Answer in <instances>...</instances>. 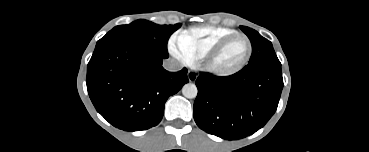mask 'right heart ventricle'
Instances as JSON below:
<instances>
[{"mask_svg":"<svg viewBox=\"0 0 369 152\" xmlns=\"http://www.w3.org/2000/svg\"><path fill=\"white\" fill-rule=\"evenodd\" d=\"M234 33L237 31L228 27L200 25L181 31L177 40L179 45L189 53L190 64H193L201 60L217 42Z\"/></svg>","mask_w":369,"mask_h":152,"instance_id":"right-heart-ventricle-1","label":"right heart ventricle"}]
</instances>
